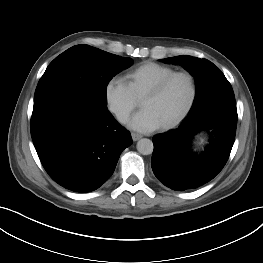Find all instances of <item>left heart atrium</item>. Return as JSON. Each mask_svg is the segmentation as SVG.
I'll list each match as a JSON object with an SVG mask.
<instances>
[{"label": "left heart atrium", "mask_w": 263, "mask_h": 263, "mask_svg": "<svg viewBox=\"0 0 263 263\" xmlns=\"http://www.w3.org/2000/svg\"><path fill=\"white\" fill-rule=\"evenodd\" d=\"M128 126L139 132L147 133L158 129L161 124L150 110L142 109L128 121Z\"/></svg>", "instance_id": "obj_1"}]
</instances>
